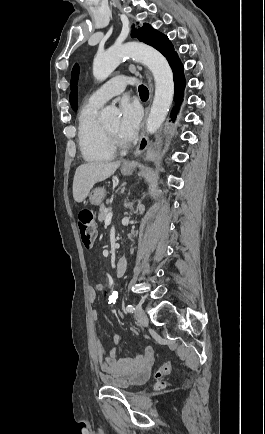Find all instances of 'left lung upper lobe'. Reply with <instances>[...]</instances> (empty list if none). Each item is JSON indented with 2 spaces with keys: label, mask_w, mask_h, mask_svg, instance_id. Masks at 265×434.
Returning a JSON list of instances; mask_svg holds the SVG:
<instances>
[{
  "label": "left lung upper lobe",
  "mask_w": 265,
  "mask_h": 434,
  "mask_svg": "<svg viewBox=\"0 0 265 434\" xmlns=\"http://www.w3.org/2000/svg\"><path fill=\"white\" fill-rule=\"evenodd\" d=\"M132 37H136L139 41L157 49L167 58L168 62L177 55L167 36L153 29L149 24H144L143 27L133 30Z\"/></svg>",
  "instance_id": "1"
}]
</instances>
